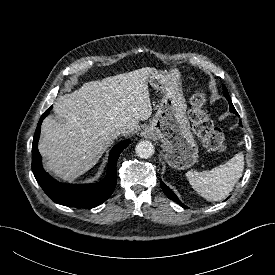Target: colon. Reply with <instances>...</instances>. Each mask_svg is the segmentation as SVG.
<instances>
[{
  "label": "colon",
  "instance_id": "5ec220e1",
  "mask_svg": "<svg viewBox=\"0 0 275 275\" xmlns=\"http://www.w3.org/2000/svg\"><path fill=\"white\" fill-rule=\"evenodd\" d=\"M188 117L193 132L210 151L223 152L226 148L224 134L214 127L207 110V95L201 91L192 96Z\"/></svg>",
  "mask_w": 275,
  "mask_h": 275
}]
</instances>
